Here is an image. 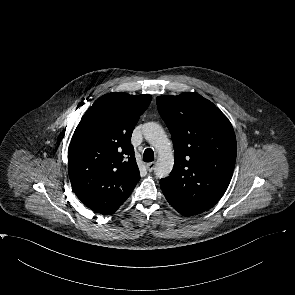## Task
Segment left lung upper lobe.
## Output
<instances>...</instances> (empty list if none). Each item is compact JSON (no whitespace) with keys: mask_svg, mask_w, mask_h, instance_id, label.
Here are the masks:
<instances>
[{"mask_svg":"<svg viewBox=\"0 0 295 295\" xmlns=\"http://www.w3.org/2000/svg\"><path fill=\"white\" fill-rule=\"evenodd\" d=\"M159 113L172 135L175 163L160 180L176 210L192 216L213 207L225 193L236 160V137L228 118L197 93L158 96Z\"/></svg>","mask_w":295,"mask_h":295,"instance_id":"left-lung-upper-lobe-1","label":"left lung upper lobe"}]
</instances>
